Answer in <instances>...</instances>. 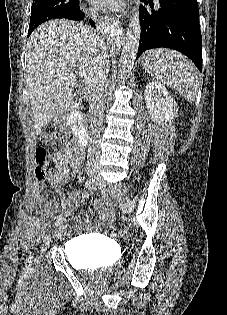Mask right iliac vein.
Instances as JSON below:
<instances>
[{
	"label": "right iliac vein",
	"mask_w": 227,
	"mask_h": 315,
	"mask_svg": "<svg viewBox=\"0 0 227 315\" xmlns=\"http://www.w3.org/2000/svg\"><path fill=\"white\" fill-rule=\"evenodd\" d=\"M96 175H97L96 170L93 169V170H90V171H89V177H90V178H96ZM65 230H66V226L60 224L59 226L56 227L53 236H54V237H55V236H58V235L62 234Z\"/></svg>",
	"instance_id": "obj_1"
}]
</instances>
